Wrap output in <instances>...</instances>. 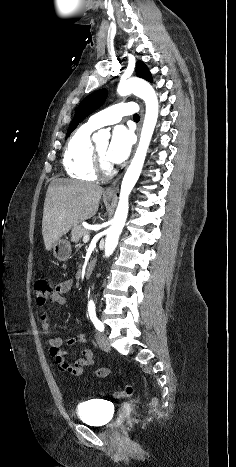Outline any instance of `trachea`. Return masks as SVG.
Instances as JSON below:
<instances>
[{
    "mask_svg": "<svg viewBox=\"0 0 236 467\" xmlns=\"http://www.w3.org/2000/svg\"><path fill=\"white\" fill-rule=\"evenodd\" d=\"M133 119H134V121H139L140 116L138 114H134Z\"/></svg>",
    "mask_w": 236,
    "mask_h": 467,
    "instance_id": "trachea-1",
    "label": "trachea"
}]
</instances>
